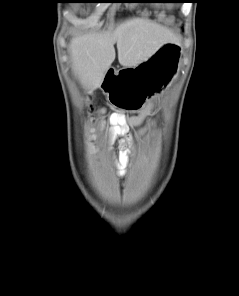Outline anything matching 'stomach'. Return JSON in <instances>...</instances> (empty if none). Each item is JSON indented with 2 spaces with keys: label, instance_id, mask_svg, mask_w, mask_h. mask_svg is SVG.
Listing matches in <instances>:
<instances>
[{
  "label": "stomach",
  "instance_id": "1",
  "mask_svg": "<svg viewBox=\"0 0 239 296\" xmlns=\"http://www.w3.org/2000/svg\"><path fill=\"white\" fill-rule=\"evenodd\" d=\"M182 53L178 42H166L147 60L134 68L119 69L115 84L154 85H100L109 94V101L123 111H140L146 98L162 94L167 82L175 74Z\"/></svg>",
  "mask_w": 239,
  "mask_h": 296
}]
</instances>
